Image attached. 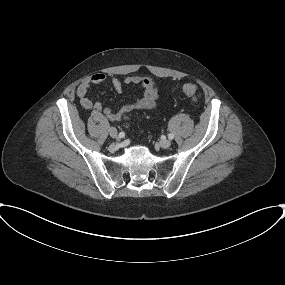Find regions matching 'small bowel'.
Instances as JSON below:
<instances>
[{"label":"small bowel","mask_w":285,"mask_h":285,"mask_svg":"<svg viewBox=\"0 0 285 285\" xmlns=\"http://www.w3.org/2000/svg\"><path fill=\"white\" fill-rule=\"evenodd\" d=\"M105 82H110L117 92H122L125 86L138 85L143 89V96L133 103L123 105L118 112H114L111 108L105 107L101 101H93L88 96L92 86ZM76 93L83 108L101 112L110 121L117 122L122 121L125 114L132 110L155 109L158 99V87L156 81L148 76L139 75L118 78L104 73H97L83 80L77 87Z\"/></svg>","instance_id":"obj_1"}]
</instances>
